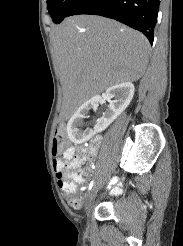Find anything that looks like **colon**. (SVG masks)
<instances>
[{
    "label": "colon",
    "mask_w": 183,
    "mask_h": 246,
    "mask_svg": "<svg viewBox=\"0 0 183 246\" xmlns=\"http://www.w3.org/2000/svg\"><path fill=\"white\" fill-rule=\"evenodd\" d=\"M66 148V128L63 124H58L54 130L53 138V154L54 156H63ZM70 189L75 191L76 185L79 184L80 176L77 174L69 175ZM79 204V200H75V205Z\"/></svg>",
    "instance_id": "obj_1"
}]
</instances>
